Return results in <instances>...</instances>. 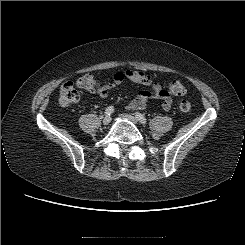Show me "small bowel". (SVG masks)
<instances>
[{"mask_svg":"<svg viewBox=\"0 0 245 245\" xmlns=\"http://www.w3.org/2000/svg\"><path fill=\"white\" fill-rule=\"evenodd\" d=\"M129 80L141 86L151 87V90L141 91L138 95L128 103V110H143L147 107L149 100H158L161 107L165 111H169L172 107L173 100L159 83L155 82L151 75L140 70H126L114 74L112 80L106 81L98 90V95L102 98L108 96L111 88L121 85L124 81Z\"/></svg>","mask_w":245,"mask_h":245,"instance_id":"1","label":"small bowel"}]
</instances>
